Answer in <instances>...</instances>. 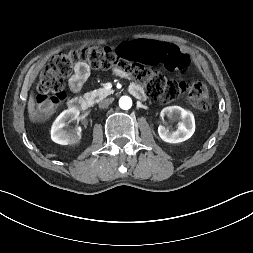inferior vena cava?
Returning <instances> with one entry per match:
<instances>
[{
  "mask_svg": "<svg viewBox=\"0 0 253 253\" xmlns=\"http://www.w3.org/2000/svg\"><path fill=\"white\" fill-rule=\"evenodd\" d=\"M112 101H113V99H112V98L104 99V100L100 101V103H99V107H100V108H105V107H108V106H109V104H111V103H112Z\"/></svg>",
  "mask_w": 253,
  "mask_h": 253,
  "instance_id": "1",
  "label": "inferior vena cava"
}]
</instances>
